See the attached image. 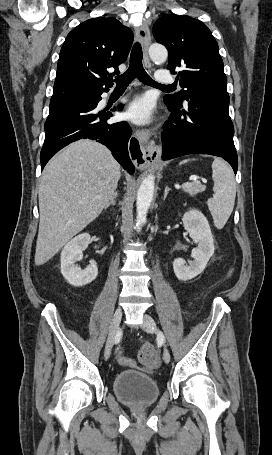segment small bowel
I'll return each mask as SVG.
<instances>
[{
	"label": "small bowel",
	"instance_id": "1",
	"mask_svg": "<svg viewBox=\"0 0 272 455\" xmlns=\"http://www.w3.org/2000/svg\"><path fill=\"white\" fill-rule=\"evenodd\" d=\"M118 362L124 367L138 368V365L134 359L127 356H123L121 355V353L118 355ZM144 370L147 372H151L152 368L151 366H146L144 367Z\"/></svg>",
	"mask_w": 272,
	"mask_h": 455
}]
</instances>
